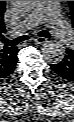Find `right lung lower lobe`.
I'll list each match as a JSON object with an SVG mask.
<instances>
[{"mask_svg": "<svg viewBox=\"0 0 74 122\" xmlns=\"http://www.w3.org/2000/svg\"><path fill=\"white\" fill-rule=\"evenodd\" d=\"M16 60H17V57H16V59L14 60V63H13V65L10 67V69L7 70V71H5V72H3L2 74H0V81H1L2 79H4V78H7L10 74L13 73V71H14V69H15V65H16Z\"/></svg>", "mask_w": 74, "mask_h": 122, "instance_id": "right-lung-lower-lobe-1", "label": "right lung lower lobe"}]
</instances>
